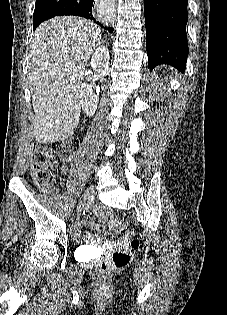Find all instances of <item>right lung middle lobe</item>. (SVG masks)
<instances>
[{
    "mask_svg": "<svg viewBox=\"0 0 227 315\" xmlns=\"http://www.w3.org/2000/svg\"><path fill=\"white\" fill-rule=\"evenodd\" d=\"M73 0H36L33 14L34 30L45 20L56 16L57 12Z\"/></svg>",
    "mask_w": 227,
    "mask_h": 315,
    "instance_id": "dd1d6c3e",
    "label": "right lung middle lobe"
}]
</instances>
